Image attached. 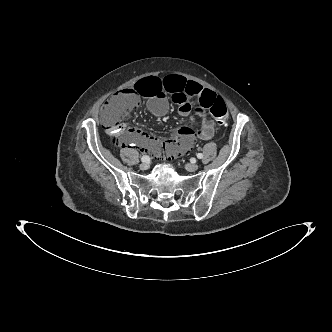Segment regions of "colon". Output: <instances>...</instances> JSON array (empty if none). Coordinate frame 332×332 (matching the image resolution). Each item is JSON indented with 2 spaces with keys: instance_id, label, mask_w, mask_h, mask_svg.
<instances>
[{
  "instance_id": "5ec220e1",
  "label": "colon",
  "mask_w": 332,
  "mask_h": 332,
  "mask_svg": "<svg viewBox=\"0 0 332 332\" xmlns=\"http://www.w3.org/2000/svg\"><path fill=\"white\" fill-rule=\"evenodd\" d=\"M156 76V75H152ZM151 77V76H150ZM138 107V95L133 89L124 90L113 96L103 108V121L105 125L116 133L115 142L121 143V121ZM210 112L216 122L226 126L229 121V112L226 104L220 97H215L210 104ZM208 118V109L204 105H195L191 112L178 122V127L183 132L194 130L199 122ZM180 152L174 151L167 155L168 160L175 158Z\"/></svg>"
}]
</instances>
